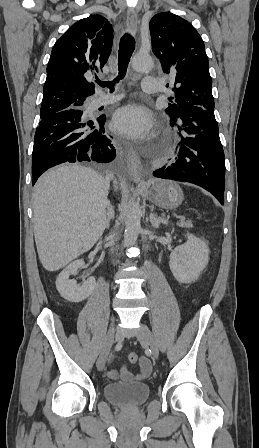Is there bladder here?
Wrapping results in <instances>:
<instances>
[{
  "label": "bladder",
  "mask_w": 259,
  "mask_h": 448,
  "mask_svg": "<svg viewBox=\"0 0 259 448\" xmlns=\"http://www.w3.org/2000/svg\"><path fill=\"white\" fill-rule=\"evenodd\" d=\"M108 402L122 408H134L145 403L150 395L146 383H109L104 386Z\"/></svg>",
  "instance_id": "31cf9c89"
}]
</instances>
